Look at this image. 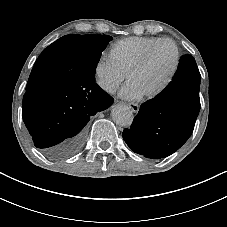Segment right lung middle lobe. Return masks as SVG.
<instances>
[{
    "label": "right lung middle lobe",
    "mask_w": 227,
    "mask_h": 227,
    "mask_svg": "<svg viewBox=\"0 0 227 227\" xmlns=\"http://www.w3.org/2000/svg\"><path fill=\"white\" fill-rule=\"evenodd\" d=\"M112 37L108 35H73L61 37L43 50L28 80L26 91L51 77L65 82L95 81V69Z\"/></svg>",
    "instance_id": "dd1d6c3e"
}]
</instances>
